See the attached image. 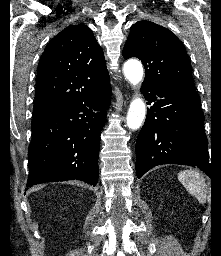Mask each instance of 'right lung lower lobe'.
<instances>
[{"instance_id":"98d812e1","label":"right lung lower lobe","mask_w":221,"mask_h":256,"mask_svg":"<svg viewBox=\"0 0 221 256\" xmlns=\"http://www.w3.org/2000/svg\"><path fill=\"white\" fill-rule=\"evenodd\" d=\"M110 101L108 86L96 95L33 117L27 188L71 179L97 184L100 135Z\"/></svg>"}]
</instances>
